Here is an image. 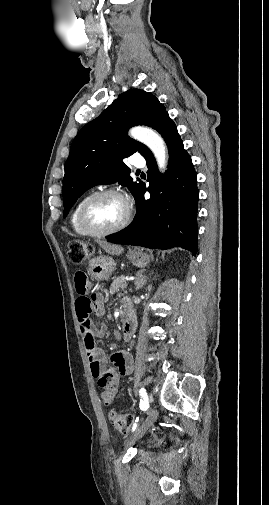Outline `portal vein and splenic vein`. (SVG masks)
I'll use <instances>...</instances> for the list:
<instances>
[{"label": "portal vein and splenic vein", "instance_id": "1", "mask_svg": "<svg viewBox=\"0 0 269 505\" xmlns=\"http://www.w3.org/2000/svg\"><path fill=\"white\" fill-rule=\"evenodd\" d=\"M125 287H127V283H126V282H125V284H124V288H125Z\"/></svg>", "mask_w": 269, "mask_h": 505}]
</instances>
